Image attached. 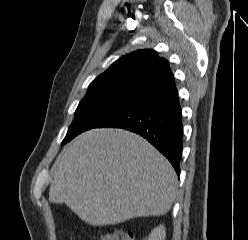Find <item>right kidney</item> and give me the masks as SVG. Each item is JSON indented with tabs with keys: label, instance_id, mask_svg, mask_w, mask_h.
Segmentation results:
<instances>
[{
	"label": "right kidney",
	"instance_id": "obj_1",
	"mask_svg": "<svg viewBox=\"0 0 248 240\" xmlns=\"http://www.w3.org/2000/svg\"><path fill=\"white\" fill-rule=\"evenodd\" d=\"M166 232L165 227L160 225L156 227L148 237V240H165Z\"/></svg>",
	"mask_w": 248,
	"mask_h": 240
}]
</instances>
